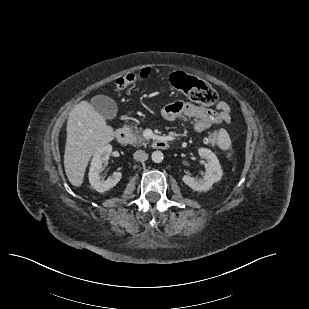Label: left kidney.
<instances>
[{"instance_id": "5707ae66", "label": "left kidney", "mask_w": 309, "mask_h": 309, "mask_svg": "<svg viewBox=\"0 0 309 309\" xmlns=\"http://www.w3.org/2000/svg\"><path fill=\"white\" fill-rule=\"evenodd\" d=\"M199 156L206 160V172L203 178H195L188 174L184 175L183 182L198 192H206L211 189L214 183H217L222 178V169L217 156L207 148L198 150Z\"/></svg>"}]
</instances>
